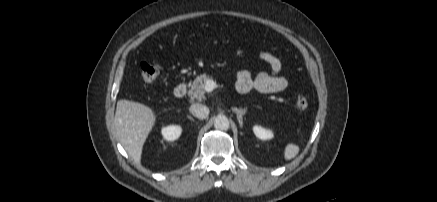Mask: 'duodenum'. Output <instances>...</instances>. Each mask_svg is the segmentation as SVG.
<instances>
[{
	"label": "duodenum",
	"mask_w": 437,
	"mask_h": 202,
	"mask_svg": "<svg viewBox=\"0 0 437 202\" xmlns=\"http://www.w3.org/2000/svg\"><path fill=\"white\" fill-rule=\"evenodd\" d=\"M187 91V85L186 83H179L178 85L175 86L174 90H173V94L176 98H182Z\"/></svg>",
	"instance_id": "1"
}]
</instances>
